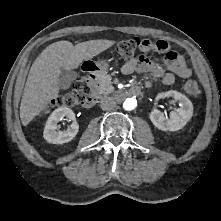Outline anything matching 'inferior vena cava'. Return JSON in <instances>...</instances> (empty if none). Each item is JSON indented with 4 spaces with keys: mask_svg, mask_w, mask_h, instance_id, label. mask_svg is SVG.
<instances>
[{
    "mask_svg": "<svg viewBox=\"0 0 221 221\" xmlns=\"http://www.w3.org/2000/svg\"><path fill=\"white\" fill-rule=\"evenodd\" d=\"M100 106L101 109L104 111L112 110L113 108L116 107V101L112 97L104 96L100 101Z\"/></svg>",
    "mask_w": 221,
    "mask_h": 221,
    "instance_id": "inferior-vena-cava-1",
    "label": "inferior vena cava"
}]
</instances>
